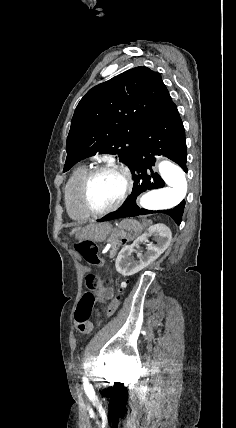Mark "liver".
<instances>
[{"mask_svg":"<svg viewBox=\"0 0 236 428\" xmlns=\"http://www.w3.org/2000/svg\"><path fill=\"white\" fill-rule=\"evenodd\" d=\"M83 228H73L72 232H70V234H76V236H78V234H81Z\"/></svg>","mask_w":236,"mask_h":428,"instance_id":"1","label":"liver"}]
</instances>
